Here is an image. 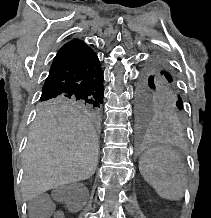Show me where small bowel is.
I'll use <instances>...</instances> for the list:
<instances>
[{"label": "small bowel", "mask_w": 211, "mask_h": 218, "mask_svg": "<svg viewBox=\"0 0 211 218\" xmlns=\"http://www.w3.org/2000/svg\"><path fill=\"white\" fill-rule=\"evenodd\" d=\"M56 217L57 218H63V213L62 212H57Z\"/></svg>", "instance_id": "1"}]
</instances>
